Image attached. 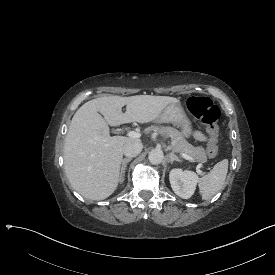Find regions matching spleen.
Segmentation results:
<instances>
[{"instance_id": "spleen-1", "label": "spleen", "mask_w": 275, "mask_h": 275, "mask_svg": "<svg viewBox=\"0 0 275 275\" xmlns=\"http://www.w3.org/2000/svg\"><path fill=\"white\" fill-rule=\"evenodd\" d=\"M228 172V160L215 164L213 169L205 176L199 179V189L202 199L212 198L223 186Z\"/></svg>"}]
</instances>
